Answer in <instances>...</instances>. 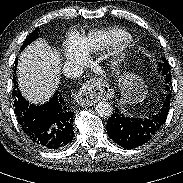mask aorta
Here are the masks:
<instances>
[{"label": "aorta", "instance_id": "obj_1", "mask_svg": "<svg viewBox=\"0 0 183 183\" xmlns=\"http://www.w3.org/2000/svg\"><path fill=\"white\" fill-rule=\"evenodd\" d=\"M96 113L100 117H109L112 114V107L111 105L106 101H100L96 104L95 107Z\"/></svg>", "mask_w": 183, "mask_h": 183}]
</instances>
